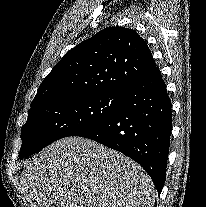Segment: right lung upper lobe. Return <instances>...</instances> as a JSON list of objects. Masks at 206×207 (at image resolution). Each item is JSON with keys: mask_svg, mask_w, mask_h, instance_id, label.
<instances>
[{"mask_svg": "<svg viewBox=\"0 0 206 207\" xmlns=\"http://www.w3.org/2000/svg\"><path fill=\"white\" fill-rule=\"evenodd\" d=\"M156 69L137 32L106 28L71 49L47 75L31 103L72 95L124 94Z\"/></svg>", "mask_w": 206, "mask_h": 207, "instance_id": "right-lung-upper-lobe-1", "label": "right lung upper lobe"}]
</instances>
